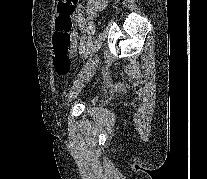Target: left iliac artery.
Wrapping results in <instances>:
<instances>
[{
    "mask_svg": "<svg viewBox=\"0 0 207 179\" xmlns=\"http://www.w3.org/2000/svg\"><path fill=\"white\" fill-rule=\"evenodd\" d=\"M93 57H90V60L86 62V64L83 66V68L81 69V71L78 73L77 77H81L83 75V73L86 71V69L88 68V65L90 63H92ZM76 81H74L75 83Z\"/></svg>",
    "mask_w": 207,
    "mask_h": 179,
    "instance_id": "44dca946",
    "label": "left iliac artery"
}]
</instances>
